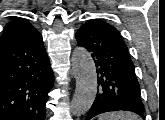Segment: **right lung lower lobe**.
Listing matches in <instances>:
<instances>
[{"label": "right lung lower lobe", "instance_id": "obj_1", "mask_svg": "<svg viewBox=\"0 0 165 120\" xmlns=\"http://www.w3.org/2000/svg\"><path fill=\"white\" fill-rule=\"evenodd\" d=\"M54 75L42 35L0 48V120H45Z\"/></svg>", "mask_w": 165, "mask_h": 120}]
</instances>
